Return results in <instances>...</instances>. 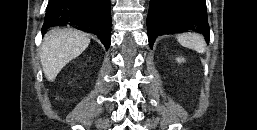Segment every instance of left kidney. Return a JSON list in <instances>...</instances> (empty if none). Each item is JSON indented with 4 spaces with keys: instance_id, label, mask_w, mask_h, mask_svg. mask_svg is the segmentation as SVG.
Here are the masks:
<instances>
[{
    "instance_id": "obj_1",
    "label": "left kidney",
    "mask_w": 257,
    "mask_h": 130,
    "mask_svg": "<svg viewBox=\"0 0 257 130\" xmlns=\"http://www.w3.org/2000/svg\"><path fill=\"white\" fill-rule=\"evenodd\" d=\"M177 61L180 63V62H183L184 59L183 58H178Z\"/></svg>"
}]
</instances>
